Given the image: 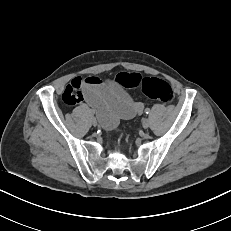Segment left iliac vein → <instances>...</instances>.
<instances>
[{"label": "left iliac vein", "instance_id": "left-iliac-vein-1", "mask_svg": "<svg viewBox=\"0 0 231 231\" xmlns=\"http://www.w3.org/2000/svg\"><path fill=\"white\" fill-rule=\"evenodd\" d=\"M149 125H150L149 119H148V118H144V119L142 120V126H143V128H148Z\"/></svg>", "mask_w": 231, "mask_h": 231}]
</instances>
